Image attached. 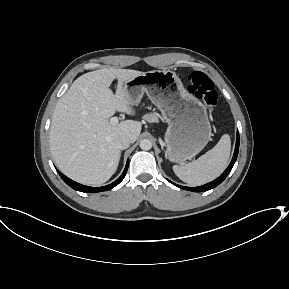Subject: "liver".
Wrapping results in <instances>:
<instances>
[{"label":"liver","mask_w":289,"mask_h":289,"mask_svg":"<svg viewBox=\"0 0 289 289\" xmlns=\"http://www.w3.org/2000/svg\"><path fill=\"white\" fill-rule=\"evenodd\" d=\"M144 72L102 68L78 77L57 102L50 127V149L59 169L69 178L87 185H100L116 172L120 149L116 142L140 135L139 121L112 125L116 111L134 115L125 84ZM118 80L116 93L110 89Z\"/></svg>","instance_id":"6515ba94"}]
</instances>
